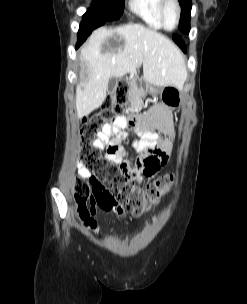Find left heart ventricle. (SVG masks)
I'll list each match as a JSON object with an SVG mask.
<instances>
[{
	"label": "left heart ventricle",
	"mask_w": 247,
	"mask_h": 304,
	"mask_svg": "<svg viewBox=\"0 0 247 304\" xmlns=\"http://www.w3.org/2000/svg\"><path fill=\"white\" fill-rule=\"evenodd\" d=\"M165 20L166 25L169 28H173L177 20V11L176 7L173 4H169L165 11Z\"/></svg>",
	"instance_id": "obj_1"
}]
</instances>
